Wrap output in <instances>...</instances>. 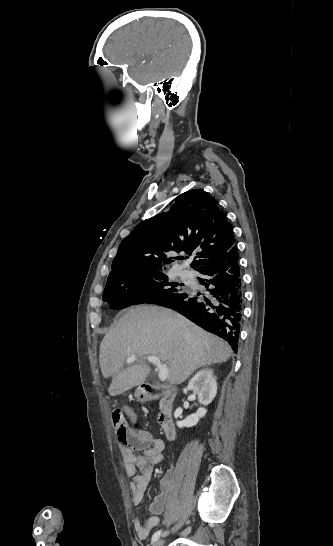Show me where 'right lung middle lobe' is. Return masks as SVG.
<instances>
[{
    "label": "right lung middle lobe",
    "mask_w": 333,
    "mask_h": 546,
    "mask_svg": "<svg viewBox=\"0 0 333 546\" xmlns=\"http://www.w3.org/2000/svg\"><path fill=\"white\" fill-rule=\"evenodd\" d=\"M168 283L160 270H112L107 279L102 299L112 309L142 304L156 303L172 294L182 293V289Z\"/></svg>",
    "instance_id": "obj_1"
}]
</instances>
